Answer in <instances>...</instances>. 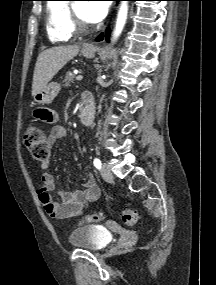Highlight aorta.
I'll use <instances>...</instances> for the list:
<instances>
[{
  "instance_id": "762f6f07",
  "label": "aorta",
  "mask_w": 216,
  "mask_h": 285,
  "mask_svg": "<svg viewBox=\"0 0 216 285\" xmlns=\"http://www.w3.org/2000/svg\"><path fill=\"white\" fill-rule=\"evenodd\" d=\"M127 14H128V1H122L120 3L116 25L113 32V40H116L122 33V30L127 20Z\"/></svg>"
}]
</instances>
